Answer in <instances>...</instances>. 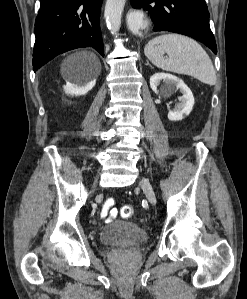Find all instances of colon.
I'll return each instance as SVG.
<instances>
[{
    "mask_svg": "<svg viewBox=\"0 0 247 299\" xmlns=\"http://www.w3.org/2000/svg\"><path fill=\"white\" fill-rule=\"evenodd\" d=\"M135 214L134 208L131 205H125L121 208V216L124 218H131Z\"/></svg>",
    "mask_w": 247,
    "mask_h": 299,
    "instance_id": "5ec220e1",
    "label": "colon"
}]
</instances>
